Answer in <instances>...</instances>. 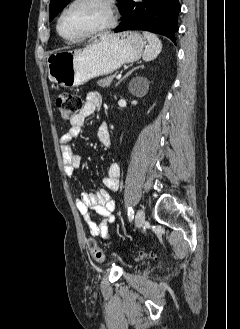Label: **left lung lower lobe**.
Returning a JSON list of instances; mask_svg holds the SVG:
<instances>
[{"label": "left lung lower lobe", "instance_id": "obj_1", "mask_svg": "<svg viewBox=\"0 0 240 329\" xmlns=\"http://www.w3.org/2000/svg\"><path fill=\"white\" fill-rule=\"evenodd\" d=\"M179 0H126L121 11L122 21L115 32L146 30L167 36L175 44Z\"/></svg>", "mask_w": 240, "mask_h": 329}]
</instances>
